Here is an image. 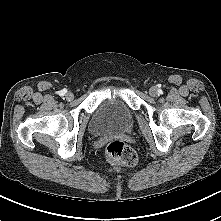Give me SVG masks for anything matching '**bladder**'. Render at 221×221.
Instances as JSON below:
<instances>
[{
	"label": "bladder",
	"instance_id": "obj_1",
	"mask_svg": "<svg viewBox=\"0 0 221 221\" xmlns=\"http://www.w3.org/2000/svg\"><path fill=\"white\" fill-rule=\"evenodd\" d=\"M133 121V112L124 100L103 98L91 114L88 129L97 137L125 134L131 130Z\"/></svg>",
	"mask_w": 221,
	"mask_h": 221
}]
</instances>
